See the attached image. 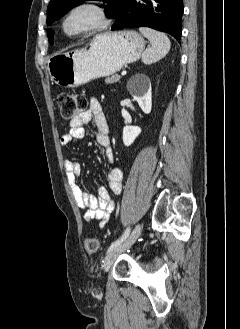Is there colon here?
Instances as JSON below:
<instances>
[{"mask_svg":"<svg viewBox=\"0 0 240 329\" xmlns=\"http://www.w3.org/2000/svg\"><path fill=\"white\" fill-rule=\"evenodd\" d=\"M58 105L61 115L66 120H73L80 112L87 107V100L84 96L64 91L58 95ZM85 248L88 253L95 254L99 249V242L96 237L90 236L85 239Z\"/></svg>","mask_w":240,"mask_h":329,"instance_id":"1","label":"colon"}]
</instances>
